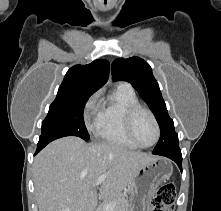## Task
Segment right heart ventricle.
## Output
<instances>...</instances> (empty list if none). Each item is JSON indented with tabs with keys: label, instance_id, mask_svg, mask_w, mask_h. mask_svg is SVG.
<instances>
[{
	"label": "right heart ventricle",
	"instance_id": "1",
	"mask_svg": "<svg viewBox=\"0 0 221 211\" xmlns=\"http://www.w3.org/2000/svg\"><path fill=\"white\" fill-rule=\"evenodd\" d=\"M138 104V97L131 86L117 85L100 109L97 136L107 143L136 149L125 132L124 115L129 107Z\"/></svg>",
	"mask_w": 221,
	"mask_h": 211
}]
</instances>
